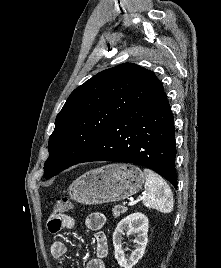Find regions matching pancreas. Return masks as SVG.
Returning a JSON list of instances; mask_svg holds the SVG:
<instances>
[{
  "label": "pancreas",
  "mask_w": 221,
  "mask_h": 268,
  "mask_svg": "<svg viewBox=\"0 0 221 268\" xmlns=\"http://www.w3.org/2000/svg\"><path fill=\"white\" fill-rule=\"evenodd\" d=\"M127 211L126 207L120 206V205H116L113 209V216L114 217H120L122 214H124Z\"/></svg>",
  "instance_id": "pancreas-1"
}]
</instances>
